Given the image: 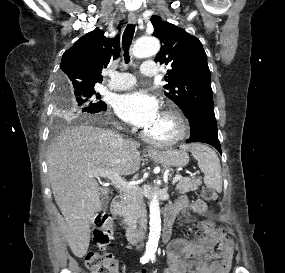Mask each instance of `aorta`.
<instances>
[{
  "label": "aorta",
  "instance_id": "aorta-1",
  "mask_svg": "<svg viewBox=\"0 0 285 273\" xmlns=\"http://www.w3.org/2000/svg\"><path fill=\"white\" fill-rule=\"evenodd\" d=\"M160 50V42L154 37H142L134 44L132 53L137 58H147L156 55ZM161 232L160 207L157 193L150 201V232L146 244V254L154 255L157 251Z\"/></svg>",
  "mask_w": 285,
  "mask_h": 273
}]
</instances>
